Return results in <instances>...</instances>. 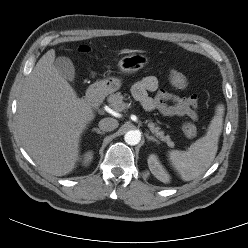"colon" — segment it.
<instances>
[{"mask_svg": "<svg viewBox=\"0 0 248 248\" xmlns=\"http://www.w3.org/2000/svg\"><path fill=\"white\" fill-rule=\"evenodd\" d=\"M167 80L173 87L178 89H183L187 86L185 75L174 69L167 72ZM182 129L184 134L189 138H194L197 135V129L192 122H185Z\"/></svg>", "mask_w": 248, "mask_h": 248, "instance_id": "colon-1", "label": "colon"}]
</instances>
